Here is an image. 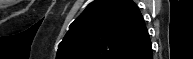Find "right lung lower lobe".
Segmentation results:
<instances>
[{
	"instance_id": "1",
	"label": "right lung lower lobe",
	"mask_w": 193,
	"mask_h": 59,
	"mask_svg": "<svg viewBox=\"0 0 193 59\" xmlns=\"http://www.w3.org/2000/svg\"><path fill=\"white\" fill-rule=\"evenodd\" d=\"M126 59H153L151 42L128 56Z\"/></svg>"
}]
</instances>
